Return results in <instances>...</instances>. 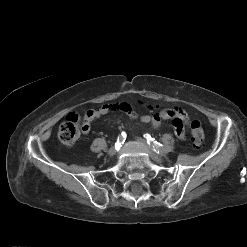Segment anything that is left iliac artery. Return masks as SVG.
<instances>
[{"label": "left iliac artery", "mask_w": 247, "mask_h": 247, "mask_svg": "<svg viewBox=\"0 0 247 247\" xmlns=\"http://www.w3.org/2000/svg\"><path fill=\"white\" fill-rule=\"evenodd\" d=\"M144 137L147 139V143L153 146L155 152L161 153L164 151L163 145L157 141H154V138H152L149 134H144Z\"/></svg>", "instance_id": "left-iliac-artery-1"}]
</instances>
